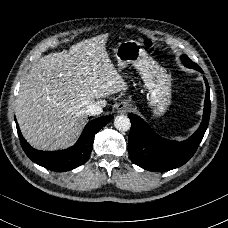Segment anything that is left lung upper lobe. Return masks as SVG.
I'll use <instances>...</instances> for the list:
<instances>
[{"instance_id": "obj_1", "label": "left lung upper lobe", "mask_w": 228, "mask_h": 228, "mask_svg": "<svg viewBox=\"0 0 228 228\" xmlns=\"http://www.w3.org/2000/svg\"><path fill=\"white\" fill-rule=\"evenodd\" d=\"M183 64L188 68H193L195 70L201 71L202 69L194 62H192L186 55L181 57Z\"/></svg>"}]
</instances>
